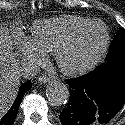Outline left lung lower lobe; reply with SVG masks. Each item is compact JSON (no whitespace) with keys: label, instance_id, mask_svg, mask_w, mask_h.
<instances>
[{"label":"left lung lower lobe","instance_id":"1","mask_svg":"<svg viewBox=\"0 0 125 125\" xmlns=\"http://www.w3.org/2000/svg\"><path fill=\"white\" fill-rule=\"evenodd\" d=\"M66 82L71 97L59 116L62 125L108 123L125 104V55L109 57L90 73Z\"/></svg>","mask_w":125,"mask_h":125}]
</instances>
